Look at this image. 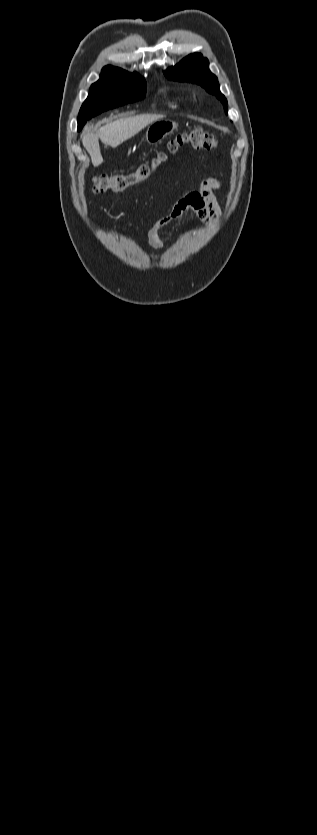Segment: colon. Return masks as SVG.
I'll return each mask as SVG.
<instances>
[{
  "label": "colon",
  "mask_w": 317,
  "mask_h": 835,
  "mask_svg": "<svg viewBox=\"0 0 317 835\" xmlns=\"http://www.w3.org/2000/svg\"><path fill=\"white\" fill-rule=\"evenodd\" d=\"M185 145L197 150H214L217 148V141L202 128H194L188 132L178 134L171 140L168 144V152L171 154L177 153ZM165 159L166 154L160 153L151 161L141 164L130 173L98 175L93 179V192H120L149 177Z\"/></svg>",
  "instance_id": "1"
}]
</instances>
